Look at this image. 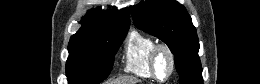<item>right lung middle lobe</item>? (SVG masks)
I'll use <instances>...</instances> for the list:
<instances>
[{"instance_id":"right-lung-middle-lobe-1","label":"right lung middle lobe","mask_w":260,"mask_h":84,"mask_svg":"<svg viewBox=\"0 0 260 84\" xmlns=\"http://www.w3.org/2000/svg\"><path fill=\"white\" fill-rule=\"evenodd\" d=\"M127 31L110 30L93 40L69 44L66 62L69 84H99L107 78Z\"/></svg>"}]
</instances>
